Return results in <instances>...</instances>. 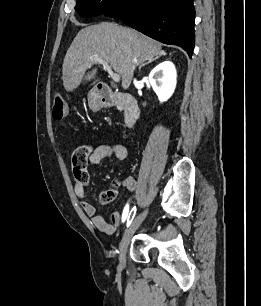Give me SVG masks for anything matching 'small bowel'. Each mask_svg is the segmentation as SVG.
I'll list each match as a JSON object with an SVG mask.
<instances>
[{"instance_id":"obj_1","label":"small bowel","mask_w":261,"mask_h":306,"mask_svg":"<svg viewBox=\"0 0 261 306\" xmlns=\"http://www.w3.org/2000/svg\"><path fill=\"white\" fill-rule=\"evenodd\" d=\"M80 146H87L90 149V154L87 160V164L82 169H76L73 167V176L75 179L74 191L76 196L81 199V206L85 214L91 219L93 225L101 232L106 234H113L123 222V212H114L111 216V221L108 222L102 215L97 214L95 206L86 201V186L89 181V175L87 171L88 165H94L100 163L102 160L115 157L119 161H123L127 158V148L117 143H106L97 146L90 144H82ZM123 186L129 191L134 192L136 190V180L133 177H127L123 181ZM109 189L105 191L101 199L106 196ZM124 211V210H123Z\"/></svg>"}]
</instances>
